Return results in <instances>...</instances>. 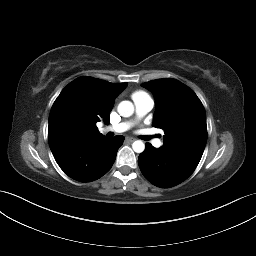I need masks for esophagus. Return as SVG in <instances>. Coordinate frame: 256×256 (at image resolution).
Here are the masks:
<instances>
[{
  "label": "esophagus",
  "instance_id": "obj_1",
  "mask_svg": "<svg viewBox=\"0 0 256 256\" xmlns=\"http://www.w3.org/2000/svg\"><path fill=\"white\" fill-rule=\"evenodd\" d=\"M126 141H127V142H134V141H135V138L127 137V138H126Z\"/></svg>",
  "mask_w": 256,
  "mask_h": 256
}]
</instances>
